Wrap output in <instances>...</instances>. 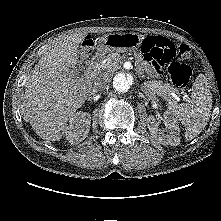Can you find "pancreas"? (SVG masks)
I'll use <instances>...</instances> for the list:
<instances>
[{
  "label": "pancreas",
  "mask_w": 221,
  "mask_h": 221,
  "mask_svg": "<svg viewBox=\"0 0 221 221\" xmlns=\"http://www.w3.org/2000/svg\"><path fill=\"white\" fill-rule=\"evenodd\" d=\"M124 61L125 56L118 53H112L106 56L104 62L102 61L99 67L103 71H115ZM144 85L150 90L154 91L157 95L167 100L172 99L173 94H178V90L176 88L172 87L168 83H163L162 81H146L144 82Z\"/></svg>",
  "instance_id": "1"
}]
</instances>
